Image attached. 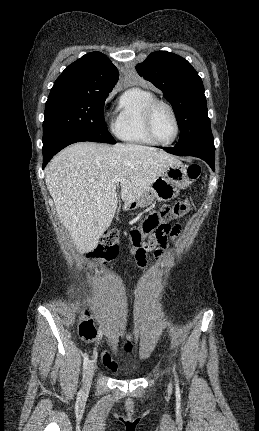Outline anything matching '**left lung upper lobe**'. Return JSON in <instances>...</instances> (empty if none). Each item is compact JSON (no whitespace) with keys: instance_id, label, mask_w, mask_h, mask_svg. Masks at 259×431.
I'll return each instance as SVG.
<instances>
[{"instance_id":"left-lung-upper-lobe-1","label":"left lung upper lobe","mask_w":259,"mask_h":431,"mask_svg":"<svg viewBox=\"0 0 259 431\" xmlns=\"http://www.w3.org/2000/svg\"><path fill=\"white\" fill-rule=\"evenodd\" d=\"M138 74L161 89L180 128L178 145H214L201 78L184 58L167 51L151 53L136 66Z\"/></svg>"}]
</instances>
